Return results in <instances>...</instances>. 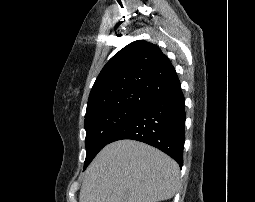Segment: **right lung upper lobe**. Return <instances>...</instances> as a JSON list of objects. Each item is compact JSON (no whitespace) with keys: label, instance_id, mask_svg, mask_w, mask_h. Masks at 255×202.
Returning a JSON list of instances; mask_svg holds the SVG:
<instances>
[{"label":"right lung upper lobe","instance_id":"cb5924a9","mask_svg":"<svg viewBox=\"0 0 255 202\" xmlns=\"http://www.w3.org/2000/svg\"><path fill=\"white\" fill-rule=\"evenodd\" d=\"M180 88L171 62L154 44L130 43L116 53L98 75L88 99L86 116L113 108H141Z\"/></svg>","mask_w":255,"mask_h":202}]
</instances>
